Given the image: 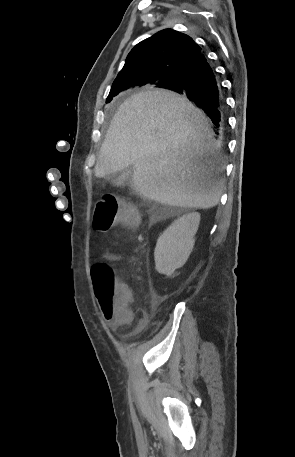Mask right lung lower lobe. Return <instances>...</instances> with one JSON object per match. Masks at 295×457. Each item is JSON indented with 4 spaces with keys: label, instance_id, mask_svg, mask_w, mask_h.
<instances>
[{
    "label": "right lung lower lobe",
    "instance_id": "98d812e1",
    "mask_svg": "<svg viewBox=\"0 0 295 457\" xmlns=\"http://www.w3.org/2000/svg\"><path fill=\"white\" fill-rule=\"evenodd\" d=\"M187 96L202 108L217 127L225 119V102L222 86L203 54L191 60L171 81L158 86Z\"/></svg>",
    "mask_w": 295,
    "mask_h": 457
}]
</instances>
